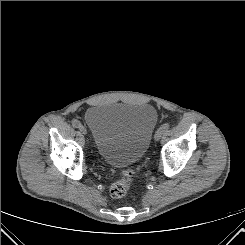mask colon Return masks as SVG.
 Listing matches in <instances>:
<instances>
[{
	"label": "colon",
	"instance_id": "5ec220e1",
	"mask_svg": "<svg viewBox=\"0 0 245 245\" xmlns=\"http://www.w3.org/2000/svg\"><path fill=\"white\" fill-rule=\"evenodd\" d=\"M134 179V170L132 168L125 169L122 172L120 180L116 181L110 187V196L114 199L124 197L130 190Z\"/></svg>",
	"mask_w": 245,
	"mask_h": 245
}]
</instances>
